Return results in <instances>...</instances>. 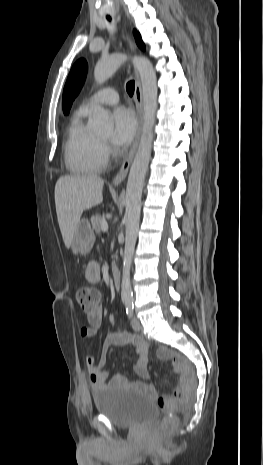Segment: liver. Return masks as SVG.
Masks as SVG:
<instances>
[{
    "instance_id": "1",
    "label": "liver",
    "mask_w": 263,
    "mask_h": 465,
    "mask_svg": "<svg viewBox=\"0 0 263 465\" xmlns=\"http://www.w3.org/2000/svg\"><path fill=\"white\" fill-rule=\"evenodd\" d=\"M104 180L96 175H65L55 185V205L60 231L70 248L82 213L102 203Z\"/></svg>"
}]
</instances>
